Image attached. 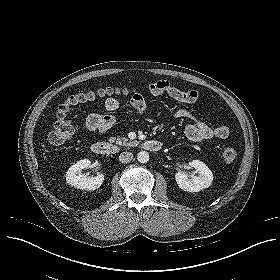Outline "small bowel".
<instances>
[{"mask_svg": "<svg viewBox=\"0 0 280 280\" xmlns=\"http://www.w3.org/2000/svg\"><path fill=\"white\" fill-rule=\"evenodd\" d=\"M148 91L153 96L167 95L172 99L193 104L200 98L197 90H182L167 81H154L148 85ZM131 106L138 112L147 109V103L142 95L136 93L130 100ZM119 108V102L114 98H107L104 102L105 113H92L87 117L86 125L89 128L97 129L100 132L108 131L117 121L115 112ZM172 118L187 119L190 123L185 127L186 138L192 143L207 141L212 138L225 139L230 136V128L226 125L212 126L197 118L189 109L180 108L172 112Z\"/></svg>", "mask_w": 280, "mask_h": 280, "instance_id": "obj_1", "label": "small bowel"}]
</instances>
